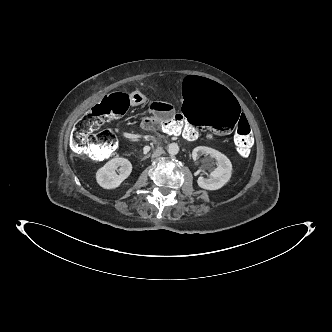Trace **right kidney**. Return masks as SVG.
I'll return each instance as SVG.
<instances>
[{
	"label": "right kidney",
	"instance_id": "right-kidney-1",
	"mask_svg": "<svg viewBox=\"0 0 332 332\" xmlns=\"http://www.w3.org/2000/svg\"><path fill=\"white\" fill-rule=\"evenodd\" d=\"M131 172V162L126 158L117 157L109 160L103 167L97 170L96 180L104 189H115L129 177Z\"/></svg>",
	"mask_w": 332,
	"mask_h": 332
}]
</instances>
